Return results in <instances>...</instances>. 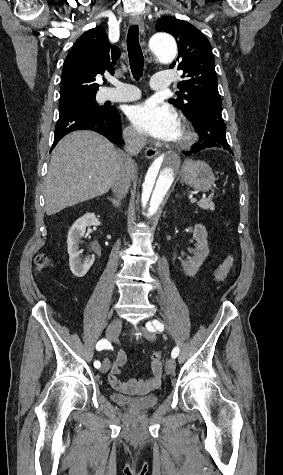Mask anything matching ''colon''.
<instances>
[{
  "instance_id": "5ec220e1",
  "label": "colon",
  "mask_w": 283,
  "mask_h": 475,
  "mask_svg": "<svg viewBox=\"0 0 283 475\" xmlns=\"http://www.w3.org/2000/svg\"><path fill=\"white\" fill-rule=\"evenodd\" d=\"M36 263L40 269H45L49 265V260L43 255L39 254L36 259ZM162 362V354L160 351L152 353L150 358V364L152 369H156Z\"/></svg>"
}]
</instances>
